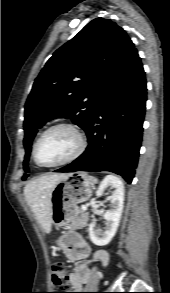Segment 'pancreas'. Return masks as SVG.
Returning a JSON list of instances; mask_svg holds the SVG:
<instances>
[{"label":"pancreas","mask_w":170,"mask_h":293,"mask_svg":"<svg viewBox=\"0 0 170 293\" xmlns=\"http://www.w3.org/2000/svg\"><path fill=\"white\" fill-rule=\"evenodd\" d=\"M88 213L80 212L79 215L71 222L69 228L82 229L87 226Z\"/></svg>","instance_id":"obj_1"}]
</instances>
